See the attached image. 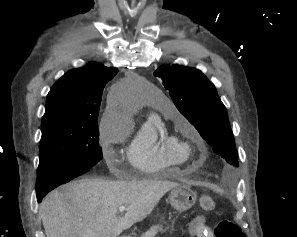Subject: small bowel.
Masks as SVG:
<instances>
[{
    "mask_svg": "<svg viewBox=\"0 0 297 237\" xmlns=\"http://www.w3.org/2000/svg\"><path fill=\"white\" fill-rule=\"evenodd\" d=\"M191 233L194 235V237H214L210 228L202 222L196 223L192 227Z\"/></svg>",
    "mask_w": 297,
    "mask_h": 237,
    "instance_id": "c3829d8e",
    "label": "small bowel"
}]
</instances>
